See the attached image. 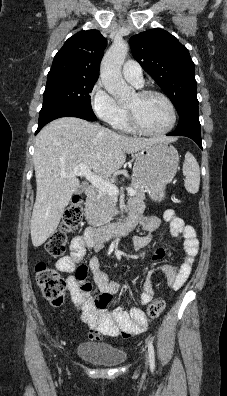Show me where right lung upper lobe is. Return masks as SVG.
Listing matches in <instances>:
<instances>
[{"instance_id": "cb5924a9", "label": "right lung upper lobe", "mask_w": 227, "mask_h": 396, "mask_svg": "<svg viewBox=\"0 0 227 396\" xmlns=\"http://www.w3.org/2000/svg\"><path fill=\"white\" fill-rule=\"evenodd\" d=\"M106 45V39L98 30L80 31L70 37L55 55L49 73L98 78Z\"/></svg>"}]
</instances>
